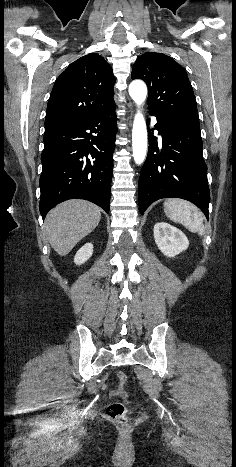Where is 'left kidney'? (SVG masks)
<instances>
[{
  "instance_id": "left-kidney-1",
  "label": "left kidney",
  "mask_w": 236,
  "mask_h": 467,
  "mask_svg": "<svg viewBox=\"0 0 236 467\" xmlns=\"http://www.w3.org/2000/svg\"><path fill=\"white\" fill-rule=\"evenodd\" d=\"M153 231L155 243L159 250L167 257H175L189 246V241L185 234L168 223H156Z\"/></svg>"
}]
</instances>
